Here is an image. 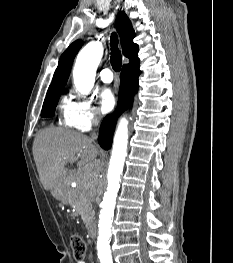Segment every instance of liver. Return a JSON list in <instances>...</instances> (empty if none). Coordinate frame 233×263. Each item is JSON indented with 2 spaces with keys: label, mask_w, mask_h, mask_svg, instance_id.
<instances>
[{
  "label": "liver",
  "mask_w": 233,
  "mask_h": 263,
  "mask_svg": "<svg viewBox=\"0 0 233 263\" xmlns=\"http://www.w3.org/2000/svg\"><path fill=\"white\" fill-rule=\"evenodd\" d=\"M80 156L78 181L86 178L85 167L93 165L98 149L88 136L62 128H46L38 132L33 143V156L40 181L45 190H52L65 176V165Z\"/></svg>",
  "instance_id": "liver-1"
}]
</instances>
